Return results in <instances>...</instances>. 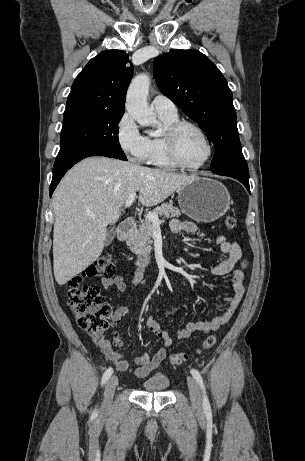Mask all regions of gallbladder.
I'll use <instances>...</instances> for the list:
<instances>
[{
  "mask_svg": "<svg viewBox=\"0 0 305 461\" xmlns=\"http://www.w3.org/2000/svg\"><path fill=\"white\" fill-rule=\"evenodd\" d=\"M115 234H116V231L114 228L109 230L106 240H105V246H108L109 244H111V242L113 241L115 237Z\"/></svg>",
  "mask_w": 305,
  "mask_h": 461,
  "instance_id": "bac80fb5",
  "label": "gallbladder"
}]
</instances>
